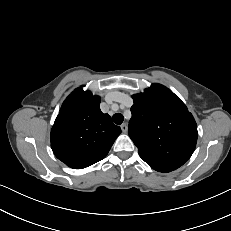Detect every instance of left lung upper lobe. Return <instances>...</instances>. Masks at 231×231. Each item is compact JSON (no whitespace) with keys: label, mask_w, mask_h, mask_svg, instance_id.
<instances>
[{"label":"left lung upper lobe","mask_w":231,"mask_h":231,"mask_svg":"<svg viewBox=\"0 0 231 231\" xmlns=\"http://www.w3.org/2000/svg\"><path fill=\"white\" fill-rule=\"evenodd\" d=\"M132 98L128 133L140 157L159 172L182 166L194 152L198 137L196 122L186 105L157 83Z\"/></svg>","instance_id":"left-lung-upper-lobe-1"}]
</instances>
